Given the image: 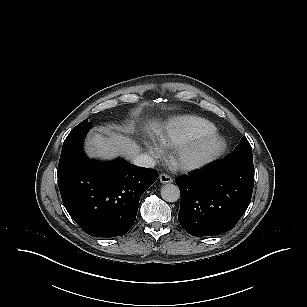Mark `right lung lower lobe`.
<instances>
[{
	"label": "right lung lower lobe",
	"instance_id": "obj_1",
	"mask_svg": "<svg viewBox=\"0 0 307 307\" xmlns=\"http://www.w3.org/2000/svg\"><path fill=\"white\" fill-rule=\"evenodd\" d=\"M83 139L61 151L57 173L63 204L87 234L124 235L134 225L140 197L156 181L158 172L122 159L90 160L83 152Z\"/></svg>",
	"mask_w": 307,
	"mask_h": 307
}]
</instances>
